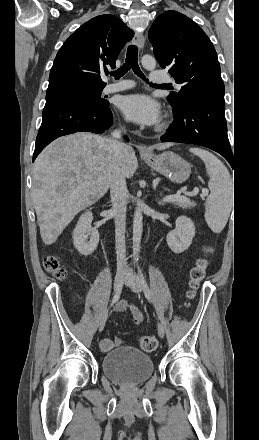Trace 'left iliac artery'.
Here are the masks:
<instances>
[{"instance_id": "obj_1", "label": "left iliac artery", "mask_w": 259, "mask_h": 440, "mask_svg": "<svg viewBox=\"0 0 259 440\" xmlns=\"http://www.w3.org/2000/svg\"><path fill=\"white\" fill-rule=\"evenodd\" d=\"M138 270H139V274H140V278H141V283H142V286H143V289H144L145 296H146V298H147L150 302H152L151 292H150V290H149L148 284H147V282H146V280H145V278H144V276H143V274H142L141 269L138 268Z\"/></svg>"}]
</instances>
